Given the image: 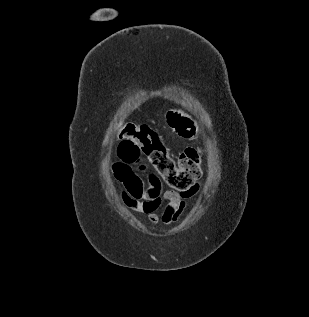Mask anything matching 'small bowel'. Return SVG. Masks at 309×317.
<instances>
[{"label": "small bowel", "mask_w": 309, "mask_h": 317, "mask_svg": "<svg viewBox=\"0 0 309 317\" xmlns=\"http://www.w3.org/2000/svg\"><path fill=\"white\" fill-rule=\"evenodd\" d=\"M128 149L119 150L118 159L112 164L111 170L117 181L123 186L121 201L131 210L144 214L149 225H171L180 218L186 202L199 190L197 183L185 193L162 191L159 178L150 174L145 180L140 173L146 166L131 162L123 157Z\"/></svg>", "instance_id": "1"}]
</instances>
